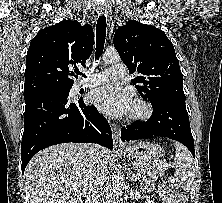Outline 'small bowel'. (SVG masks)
<instances>
[{"mask_svg":"<svg viewBox=\"0 0 222 203\" xmlns=\"http://www.w3.org/2000/svg\"><path fill=\"white\" fill-rule=\"evenodd\" d=\"M159 192L166 203H183V199L180 195L173 194L164 187H160Z\"/></svg>","mask_w":222,"mask_h":203,"instance_id":"c3829d8e","label":"small bowel"}]
</instances>
